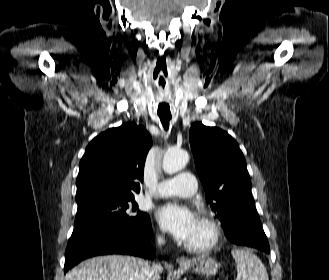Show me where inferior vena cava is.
Returning <instances> with one entry per match:
<instances>
[{
  "instance_id": "1",
  "label": "inferior vena cava",
  "mask_w": 329,
  "mask_h": 280,
  "mask_svg": "<svg viewBox=\"0 0 329 280\" xmlns=\"http://www.w3.org/2000/svg\"><path fill=\"white\" fill-rule=\"evenodd\" d=\"M164 240L162 238H158V244L162 245ZM160 269V265L153 264L149 265L148 262L144 263L141 272L139 275V280H155L156 274Z\"/></svg>"
}]
</instances>
